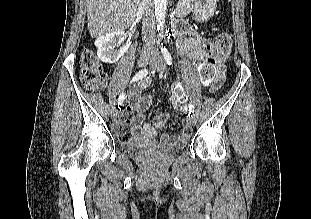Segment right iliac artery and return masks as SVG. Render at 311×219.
<instances>
[{
    "label": "right iliac artery",
    "mask_w": 311,
    "mask_h": 219,
    "mask_svg": "<svg viewBox=\"0 0 311 219\" xmlns=\"http://www.w3.org/2000/svg\"><path fill=\"white\" fill-rule=\"evenodd\" d=\"M148 74V70L147 69H141L139 72H137V74L132 78L131 80V83L132 82H135L139 79H142L144 78L146 75ZM124 99H125V95L124 93H122L120 96H119V99H118V105H122L123 102H124Z\"/></svg>",
    "instance_id": "82829eb1"
}]
</instances>
